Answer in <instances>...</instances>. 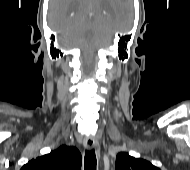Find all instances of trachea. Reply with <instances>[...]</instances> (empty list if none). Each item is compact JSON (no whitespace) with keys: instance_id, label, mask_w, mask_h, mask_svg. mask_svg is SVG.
<instances>
[{"instance_id":"3493384b","label":"trachea","mask_w":190,"mask_h":170,"mask_svg":"<svg viewBox=\"0 0 190 170\" xmlns=\"http://www.w3.org/2000/svg\"><path fill=\"white\" fill-rule=\"evenodd\" d=\"M97 160L95 151L92 150H86L85 151V157H84V170H96Z\"/></svg>"}]
</instances>
